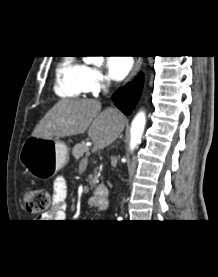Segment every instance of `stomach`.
I'll use <instances>...</instances> for the list:
<instances>
[{
	"label": "stomach",
	"instance_id": "obj_1",
	"mask_svg": "<svg viewBox=\"0 0 218 277\" xmlns=\"http://www.w3.org/2000/svg\"><path fill=\"white\" fill-rule=\"evenodd\" d=\"M69 159L66 144L56 138L28 137L21 148L19 160L35 178L48 179L63 168Z\"/></svg>",
	"mask_w": 218,
	"mask_h": 277
}]
</instances>
